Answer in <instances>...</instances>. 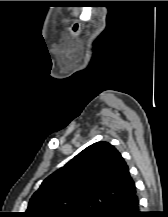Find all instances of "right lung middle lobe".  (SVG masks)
<instances>
[{"mask_svg":"<svg viewBox=\"0 0 168 217\" xmlns=\"http://www.w3.org/2000/svg\"><path fill=\"white\" fill-rule=\"evenodd\" d=\"M76 217V216H75ZM77 217H90V215H79Z\"/></svg>","mask_w":168,"mask_h":217,"instance_id":"1","label":"right lung middle lobe"}]
</instances>
